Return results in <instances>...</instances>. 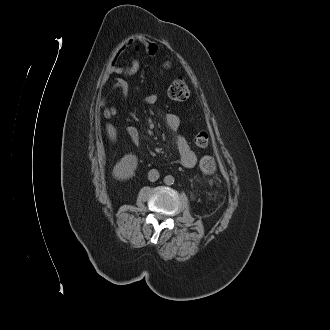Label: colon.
<instances>
[{"mask_svg":"<svg viewBox=\"0 0 330 330\" xmlns=\"http://www.w3.org/2000/svg\"><path fill=\"white\" fill-rule=\"evenodd\" d=\"M148 51L154 53L153 47H149ZM170 68L169 64H164L163 69L168 70ZM169 96L176 100H185L189 96V88L185 80L178 79L175 81L169 89ZM116 111L113 107H107L104 111V115L108 118L113 117ZM209 142V135L206 132H199L195 136V143L199 147H206ZM199 167L201 171L206 175H211L216 170V162L211 156H204L199 162Z\"/></svg>","mask_w":330,"mask_h":330,"instance_id":"obj_1","label":"colon"}]
</instances>
